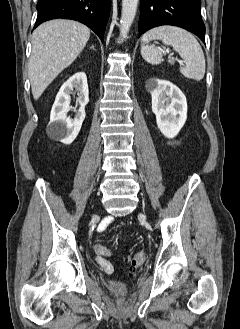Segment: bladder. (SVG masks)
<instances>
[{
    "instance_id": "1",
    "label": "bladder",
    "mask_w": 240,
    "mask_h": 329,
    "mask_svg": "<svg viewBox=\"0 0 240 329\" xmlns=\"http://www.w3.org/2000/svg\"><path fill=\"white\" fill-rule=\"evenodd\" d=\"M107 287L111 291H123L126 288L124 283L115 280L109 281Z\"/></svg>"
}]
</instances>
